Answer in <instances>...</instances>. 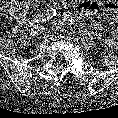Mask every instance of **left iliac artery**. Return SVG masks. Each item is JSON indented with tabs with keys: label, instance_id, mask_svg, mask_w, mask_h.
Instances as JSON below:
<instances>
[{
	"label": "left iliac artery",
	"instance_id": "obj_1",
	"mask_svg": "<svg viewBox=\"0 0 118 118\" xmlns=\"http://www.w3.org/2000/svg\"><path fill=\"white\" fill-rule=\"evenodd\" d=\"M62 20L68 25H74V19L68 14H63Z\"/></svg>",
	"mask_w": 118,
	"mask_h": 118
}]
</instances>
